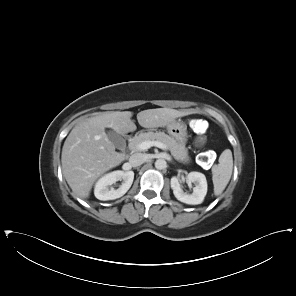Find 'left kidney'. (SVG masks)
I'll return each mask as SVG.
<instances>
[{"instance_id": "1", "label": "left kidney", "mask_w": 296, "mask_h": 296, "mask_svg": "<svg viewBox=\"0 0 296 296\" xmlns=\"http://www.w3.org/2000/svg\"><path fill=\"white\" fill-rule=\"evenodd\" d=\"M187 182L195 184L192 194H187L183 191L177 177L171 178V188L174 196L186 204H201L207 194V180L205 175L200 172H190L187 176Z\"/></svg>"}]
</instances>
